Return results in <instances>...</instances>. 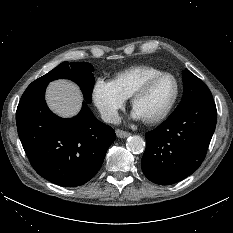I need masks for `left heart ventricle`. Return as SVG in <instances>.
<instances>
[{"label": "left heart ventricle", "instance_id": "left-heart-ventricle-1", "mask_svg": "<svg viewBox=\"0 0 233 233\" xmlns=\"http://www.w3.org/2000/svg\"><path fill=\"white\" fill-rule=\"evenodd\" d=\"M175 92L174 81L170 77L157 80L134 105L133 111L140 118H152L162 113Z\"/></svg>", "mask_w": 233, "mask_h": 233}]
</instances>
